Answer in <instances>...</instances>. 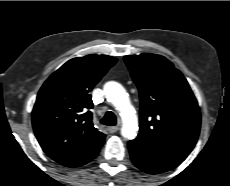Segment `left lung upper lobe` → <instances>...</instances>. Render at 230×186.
Masks as SVG:
<instances>
[{
    "instance_id": "5c2ea615",
    "label": "left lung upper lobe",
    "mask_w": 230,
    "mask_h": 186,
    "mask_svg": "<svg viewBox=\"0 0 230 186\" xmlns=\"http://www.w3.org/2000/svg\"><path fill=\"white\" fill-rule=\"evenodd\" d=\"M124 59L140 93L137 139L189 154L199 136L201 117L187 80L163 56L143 53Z\"/></svg>"
}]
</instances>
